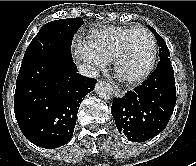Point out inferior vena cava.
Instances as JSON below:
<instances>
[{"instance_id": "1", "label": "inferior vena cava", "mask_w": 196, "mask_h": 166, "mask_svg": "<svg viewBox=\"0 0 196 166\" xmlns=\"http://www.w3.org/2000/svg\"><path fill=\"white\" fill-rule=\"evenodd\" d=\"M78 71L81 75L90 77V78H96L99 76V71L88 64H82L78 66Z\"/></svg>"}]
</instances>
